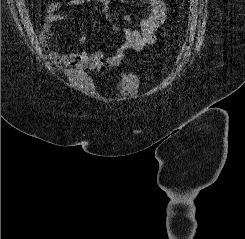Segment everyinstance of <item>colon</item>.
<instances>
[{
    "mask_svg": "<svg viewBox=\"0 0 245 239\" xmlns=\"http://www.w3.org/2000/svg\"><path fill=\"white\" fill-rule=\"evenodd\" d=\"M41 35H42V38L44 40L48 39L50 37V35H51L50 29H45L44 26H43L42 34Z\"/></svg>",
    "mask_w": 245,
    "mask_h": 239,
    "instance_id": "obj_1",
    "label": "colon"
}]
</instances>
